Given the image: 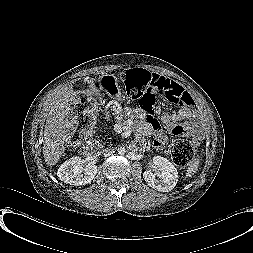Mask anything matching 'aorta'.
<instances>
[{"mask_svg": "<svg viewBox=\"0 0 253 253\" xmlns=\"http://www.w3.org/2000/svg\"><path fill=\"white\" fill-rule=\"evenodd\" d=\"M126 152V149L123 147V146H120L118 149H117V154L118 155H124Z\"/></svg>", "mask_w": 253, "mask_h": 253, "instance_id": "762f6f07", "label": "aorta"}]
</instances>
